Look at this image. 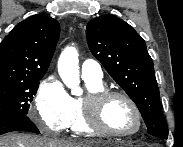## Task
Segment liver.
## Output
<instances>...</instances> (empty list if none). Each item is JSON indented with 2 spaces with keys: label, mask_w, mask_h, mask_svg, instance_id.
Returning <instances> with one entry per match:
<instances>
[{
  "label": "liver",
  "mask_w": 183,
  "mask_h": 147,
  "mask_svg": "<svg viewBox=\"0 0 183 147\" xmlns=\"http://www.w3.org/2000/svg\"><path fill=\"white\" fill-rule=\"evenodd\" d=\"M101 142H74L49 139L27 134H8L0 137V147H98Z\"/></svg>",
  "instance_id": "liver-1"
}]
</instances>
